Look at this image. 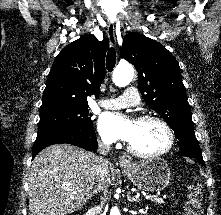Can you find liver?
<instances>
[{
    "label": "liver",
    "mask_w": 221,
    "mask_h": 215,
    "mask_svg": "<svg viewBox=\"0 0 221 215\" xmlns=\"http://www.w3.org/2000/svg\"><path fill=\"white\" fill-rule=\"evenodd\" d=\"M98 166L97 155L69 144L42 150L29 174V215H68L80 209L90 198Z\"/></svg>",
    "instance_id": "liver-1"
}]
</instances>
